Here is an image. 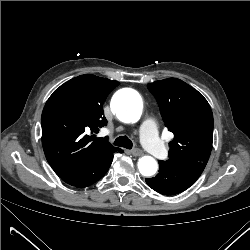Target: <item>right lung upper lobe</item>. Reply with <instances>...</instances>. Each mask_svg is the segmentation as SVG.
I'll list each match as a JSON object with an SVG mask.
<instances>
[{"instance_id": "1", "label": "right lung upper lobe", "mask_w": 250, "mask_h": 250, "mask_svg": "<svg viewBox=\"0 0 250 250\" xmlns=\"http://www.w3.org/2000/svg\"><path fill=\"white\" fill-rule=\"evenodd\" d=\"M119 82L85 74L57 88L42 112V143L55 172L85 166L113 147L107 138L88 132L107 124L103 103Z\"/></svg>"}]
</instances>
